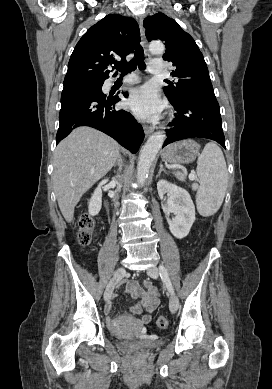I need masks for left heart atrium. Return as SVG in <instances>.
Segmentation results:
<instances>
[{
	"mask_svg": "<svg viewBox=\"0 0 272 389\" xmlns=\"http://www.w3.org/2000/svg\"><path fill=\"white\" fill-rule=\"evenodd\" d=\"M128 106L139 117L153 120L159 117L164 104L155 87L144 85L131 92Z\"/></svg>",
	"mask_w": 272,
	"mask_h": 389,
	"instance_id": "left-heart-atrium-1",
	"label": "left heart atrium"
}]
</instances>
